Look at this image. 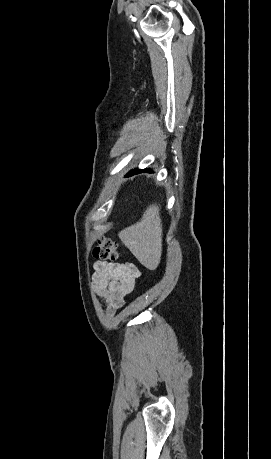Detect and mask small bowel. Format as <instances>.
<instances>
[{
    "instance_id": "obj_1",
    "label": "small bowel",
    "mask_w": 271,
    "mask_h": 459,
    "mask_svg": "<svg viewBox=\"0 0 271 459\" xmlns=\"http://www.w3.org/2000/svg\"><path fill=\"white\" fill-rule=\"evenodd\" d=\"M140 271L133 264L97 262L92 275L93 289L106 300V314L113 316L125 304V297L132 293Z\"/></svg>"
}]
</instances>
